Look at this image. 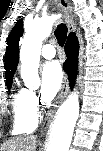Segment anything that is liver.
Masks as SVG:
<instances>
[{
  "label": "liver",
  "instance_id": "1",
  "mask_svg": "<svg viewBox=\"0 0 103 151\" xmlns=\"http://www.w3.org/2000/svg\"><path fill=\"white\" fill-rule=\"evenodd\" d=\"M36 136H17L0 146V151H36Z\"/></svg>",
  "mask_w": 103,
  "mask_h": 151
}]
</instances>
